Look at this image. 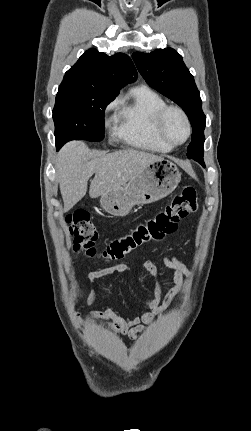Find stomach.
I'll return each instance as SVG.
<instances>
[{"instance_id":"1","label":"stomach","mask_w":251,"mask_h":431,"mask_svg":"<svg viewBox=\"0 0 251 431\" xmlns=\"http://www.w3.org/2000/svg\"><path fill=\"white\" fill-rule=\"evenodd\" d=\"M181 173L170 160L162 159L146 165L125 186L100 196L101 207L110 215L125 216L133 206L154 203L174 191Z\"/></svg>"}]
</instances>
